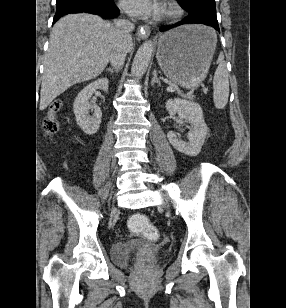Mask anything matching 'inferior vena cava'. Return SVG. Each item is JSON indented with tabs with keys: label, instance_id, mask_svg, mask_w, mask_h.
<instances>
[{
	"label": "inferior vena cava",
	"instance_id": "1",
	"mask_svg": "<svg viewBox=\"0 0 286 308\" xmlns=\"http://www.w3.org/2000/svg\"><path fill=\"white\" fill-rule=\"evenodd\" d=\"M115 42L110 55V63L118 71L124 64L127 54V41L131 38L134 24L126 19L115 20Z\"/></svg>",
	"mask_w": 286,
	"mask_h": 308
}]
</instances>
